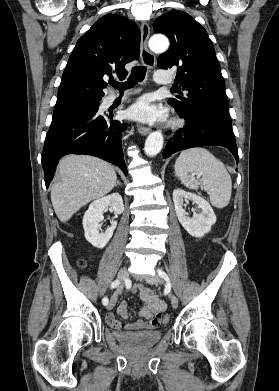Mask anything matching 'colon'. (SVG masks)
Here are the masks:
<instances>
[{"mask_svg":"<svg viewBox=\"0 0 279 391\" xmlns=\"http://www.w3.org/2000/svg\"><path fill=\"white\" fill-rule=\"evenodd\" d=\"M78 265H79L80 267H84V266H85V262H84L83 260H79V261H78ZM168 321H169V316H168V315H165V316L163 317V322H164V323H168Z\"/></svg>","mask_w":279,"mask_h":391,"instance_id":"1","label":"colon"}]
</instances>
